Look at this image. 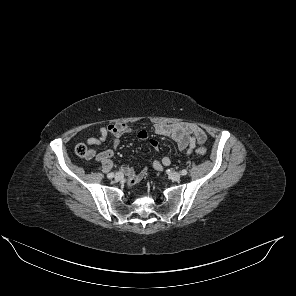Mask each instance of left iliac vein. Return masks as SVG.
Here are the masks:
<instances>
[{"label": "left iliac vein", "instance_id": "left-iliac-vein-1", "mask_svg": "<svg viewBox=\"0 0 296 296\" xmlns=\"http://www.w3.org/2000/svg\"><path fill=\"white\" fill-rule=\"evenodd\" d=\"M169 178L172 180V181H179L180 178H181V174L179 172H170L169 173Z\"/></svg>", "mask_w": 296, "mask_h": 296}]
</instances>
